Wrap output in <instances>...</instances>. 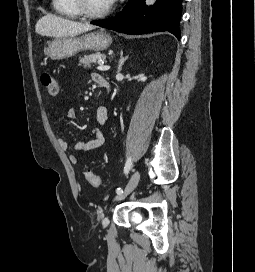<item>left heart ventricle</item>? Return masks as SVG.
<instances>
[{"label": "left heart ventricle", "instance_id": "obj_1", "mask_svg": "<svg viewBox=\"0 0 255 272\" xmlns=\"http://www.w3.org/2000/svg\"><path fill=\"white\" fill-rule=\"evenodd\" d=\"M88 8L93 12H102L110 7L108 0H86Z\"/></svg>", "mask_w": 255, "mask_h": 272}]
</instances>
